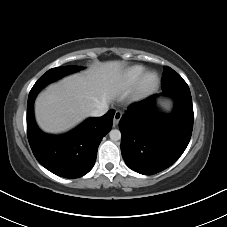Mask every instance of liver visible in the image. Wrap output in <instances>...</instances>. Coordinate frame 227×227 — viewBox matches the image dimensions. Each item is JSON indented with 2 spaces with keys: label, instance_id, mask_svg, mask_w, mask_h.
Segmentation results:
<instances>
[{
  "label": "liver",
  "instance_id": "6515ba94",
  "mask_svg": "<svg viewBox=\"0 0 227 227\" xmlns=\"http://www.w3.org/2000/svg\"><path fill=\"white\" fill-rule=\"evenodd\" d=\"M125 89L122 62L97 63L82 74L70 75L49 85L35 102L37 123L45 132L67 131Z\"/></svg>",
  "mask_w": 227,
  "mask_h": 227
}]
</instances>
